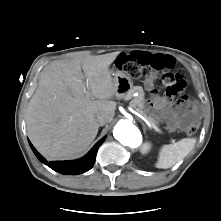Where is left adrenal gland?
I'll return each instance as SVG.
<instances>
[{"mask_svg":"<svg viewBox=\"0 0 221 221\" xmlns=\"http://www.w3.org/2000/svg\"><path fill=\"white\" fill-rule=\"evenodd\" d=\"M140 123L142 124L143 129H144V131H145V130L147 129L146 125H145L142 121H140Z\"/></svg>","mask_w":221,"mask_h":221,"instance_id":"a2214340","label":"left adrenal gland"}]
</instances>
